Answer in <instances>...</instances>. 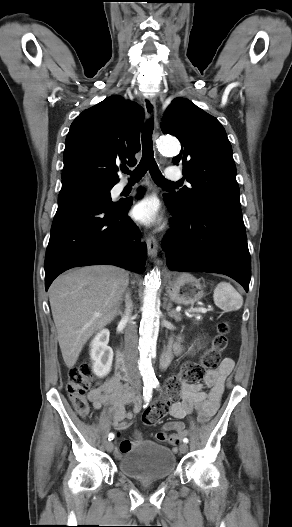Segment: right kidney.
<instances>
[{
  "label": "right kidney",
  "instance_id": "1",
  "mask_svg": "<svg viewBox=\"0 0 292 527\" xmlns=\"http://www.w3.org/2000/svg\"><path fill=\"white\" fill-rule=\"evenodd\" d=\"M109 336V330L102 329L95 335L90 344L93 371L98 377H104L111 371L113 350L108 346Z\"/></svg>",
  "mask_w": 292,
  "mask_h": 527
}]
</instances>
